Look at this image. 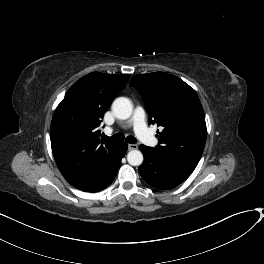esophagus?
Returning <instances> with one entry per match:
<instances>
[{
	"instance_id": "1",
	"label": "esophagus",
	"mask_w": 264,
	"mask_h": 264,
	"mask_svg": "<svg viewBox=\"0 0 264 264\" xmlns=\"http://www.w3.org/2000/svg\"><path fill=\"white\" fill-rule=\"evenodd\" d=\"M138 148V145L137 144H128V149L129 150H135Z\"/></svg>"
}]
</instances>
